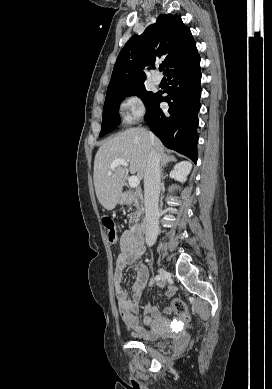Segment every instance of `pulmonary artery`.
<instances>
[{
	"label": "pulmonary artery",
	"mask_w": 272,
	"mask_h": 389,
	"mask_svg": "<svg viewBox=\"0 0 272 389\" xmlns=\"http://www.w3.org/2000/svg\"><path fill=\"white\" fill-rule=\"evenodd\" d=\"M161 80H162V77L160 75H158L157 73L153 74L152 81L154 84H156V85L160 84Z\"/></svg>",
	"instance_id": "pulmonary-artery-1"
}]
</instances>
